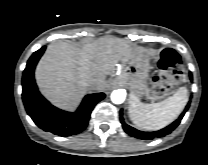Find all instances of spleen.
<instances>
[{
	"label": "spleen",
	"instance_id": "obj_1",
	"mask_svg": "<svg viewBox=\"0 0 208 165\" xmlns=\"http://www.w3.org/2000/svg\"><path fill=\"white\" fill-rule=\"evenodd\" d=\"M188 101L187 89L179 90L164 101L144 104L136 96L130 95L128 113L130 120L139 128L159 130L173 122Z\"/></svg>",
	"mask_w": 208,
	"mask_h": 165
}]
</instances>
